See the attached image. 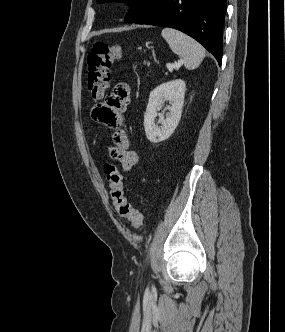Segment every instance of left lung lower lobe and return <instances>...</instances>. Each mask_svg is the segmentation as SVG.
<instances>
[{
	"instance_id": "0a47b994",
	"label": "left lung lower lobe",
	"mask_w": 285,
	"mask_h": 332,
	"mask_svg": "<svg viewBox=\"0 0 285 332\" xmlns=\"http://www.w3.org/2000/svg\"><path fill=\"white\" fill-rule=\"evenodd\" d=\"M226 0H158L137 24L171 27L201 43L221 65Z\"/></svg>"
}]
</instances>
